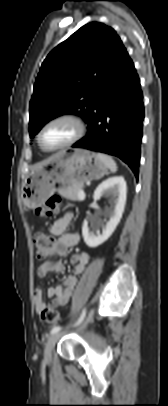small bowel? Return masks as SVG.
<instances>
[{
  "label": "small bowel",
  "mask_w": 168,
  "mask_h": 406,
  "mask_svg": "<svg viewBox=\"0 0 168 406\" xmlns=\"http://www.w3.org/2000/svg\"><path fill=\"white\" fill-rule=\"evenodd\" d=\"M72 217L73 214L67 212L49 226V233L57 239L50 254V258L42 262L36 270L38 278H45L50 274L60 273L64 270L62 262L55 258L65 256L68 253V249L76 245L80 240V236L77 232H70L68 230ZM89 260L90 254L86 252L76 253L71 256L70 262L74 265V275L66 276L61 284L51 286L47 289L46 295L49 299L48 304H46L43 299L42 288H37L34 291V301L37 313H41L46 307H62L68 303L76 288L78 276L83 274L85 266Z\"/></svg>",
  "instance_id": "1"
}]
</instances>
